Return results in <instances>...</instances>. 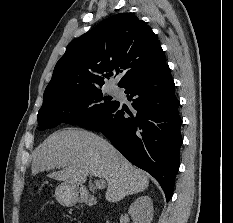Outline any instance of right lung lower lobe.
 <instances>
[{"instance_id": "right-lung-lower-lobe-1", "label": "right lung lower lobe", "mask_w": 233, "mask_h": 223, "mask_svg": "<svg viewBox=\"0 0 233 223\" xmlns=\"http://www.w3.org/2000/svg\"><path fill=\"white\" fill-rule=\"evenodd\" d=\"M120 87L132 101L131 110L117 101L82 127L102 132L131 163L156 178L168 201L182 144L180 102L169 66L164 63Z\"/></svg>"}]
</instances>
